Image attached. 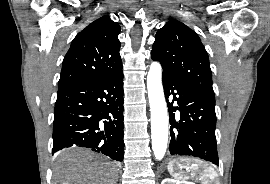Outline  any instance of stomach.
Returning <instances> with one entry per match:
<instances>
[{"label":"stomach","mask_w":270,"mask_h":184,"mask_svg":"<svg viewBox=\"0 0 270 184\" xmlns=\"http://www.w3.org/2000/svg\"><path fill=\"white\" fill-rule=\"evenodd\" d=\"M185 170L183 159L173 160L168 164V171L172 176H181Z\"/></svg>","instance_id":"1"}]
</instances>
